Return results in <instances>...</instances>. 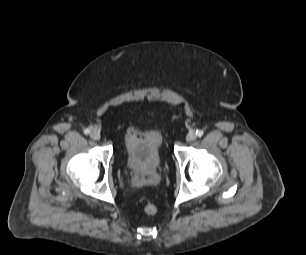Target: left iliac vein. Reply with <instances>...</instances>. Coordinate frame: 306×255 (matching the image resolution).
<instances>
[{
  "instance_id": "1",
  "label": "left iliac vein",
  "mask_w": 306,
  "mask_h": 255,
  "mask_svg": "<svg viewBox=\"0 0 306 255\" xmlns=\"http://www.w3.org/2000/svg\"><path fill=\"white\" fill-rule=\"evenodd\" d=\"M196 139V134L194 132H189L186 136L187 142H192Z\"/></svg>"
}]
</instances>
